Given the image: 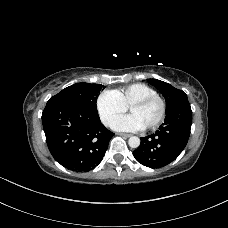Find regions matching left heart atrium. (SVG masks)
<instances>
[{
  "label": "left heart atrium",
  "instance_id": "39dd6f15",
  "mask_svg": "<svg viewBox=\"0 0 228 228\" xmlns=\"http://www.w3.org/2000/svg\"><path fill=\"white\" fill-rule=\"evenodd\" d=\"M112 128L118 131L137 132L145 129V126L134 114L120 116L112 124Z\"/></svg>",
  "mask_w": 228,
  "mask_h": 228
}]
</instances>
